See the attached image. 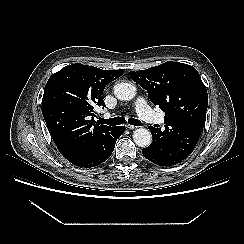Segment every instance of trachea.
<instances>
[{"instance_id": "3493384b", "label": "trachea", "mask_w": 244, "mask_h": 244, "mask_svg": "<svg viewBox=\"0 0 244 244\" xmlns=\"http://www.w3.org/2000/svg\"><path fill=\"white\" fill-rule=\"evenodd\" d=\"M100 121H101L102 124L115 126V125L123 124L125 122V118H123V117H114V118H110L108 120H104L103 118H101ZM128 123L131 124V125H134V126H141L142 125V123L138 119H135V118H130L128 120Z\"/></svg>"}]
</instances>
